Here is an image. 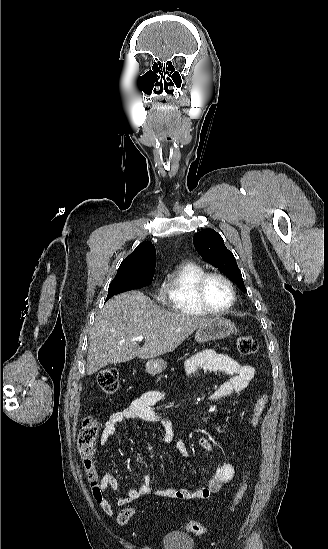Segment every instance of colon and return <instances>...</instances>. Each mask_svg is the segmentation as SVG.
Returning a JSON list of instances; mask_svg holds the SVG:
<instances>
[{
  "label": "colon",
  "instance_id": "5ec220e1",
  "mask_svg": "<svg viewBox=\"0 0 328 549\" xmlns=\"http://www.w3.org/2000/svg\"><path fill=\"white\" fill-rule=\"evenodd\" d=\"M237 348L238 351L246 356L253 355L257 352L258 345L257 342L247 334H239L237 337ZM97 383L101 390L106 394H113L118 390L119 387V377L118 373L113 369L102 370L97 377ZM267 395H262L255 402L251 416H250V426L251 428H256L261 415L263 414L265 407L267 405ZM99 432L98 422L88 417L84 419L82 427L78 434L77 447L79 455L82 459L84 468L87 473V478L90 482L92 488V493L94 498L99 501L102 498V491L98 483V476L96 471V464L94 459V447L96 439ZM249 483V475H245L239 488L233 498L232 509L235 510L241 501L243 500ZM136 514V509L132 506L123 508L117 515L118 524L125 526L127 525ZM184 528L194 534L201 535L206 532V527L196 521H186L183 524Z\"/></svg>",
  "mask_w": 328,
  "mask_h": 549
}]
</instances>
